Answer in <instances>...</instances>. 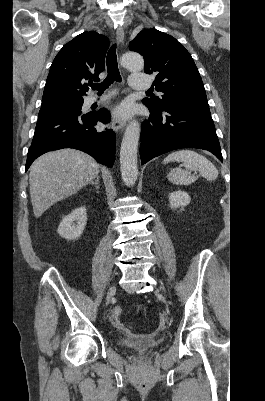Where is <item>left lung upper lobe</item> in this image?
I'll return each instance as SVG.
<instances>
[{"instance_id": "1", "label": "left lung upper lobe", "mask_w": 265, "mask_h": 401, "mask_svg": "<svg viewBox=\"0 0 265 401\" xmlns=\"http://www.w3.org/2000/svg\"><path fill=\"white\" fill-rule=\"evenodd\" d=\"M145 60L144 71L155 73V89L164 94L142 102L153 109L182 102L207 103L204 85L189 52L174 37L156 29L141 31L129 44Z\"/></svg>"}]
</instances>
